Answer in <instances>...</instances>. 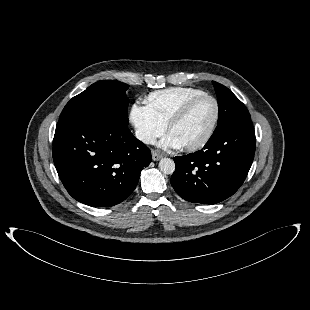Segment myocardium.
Returning a JSON list of instances; mask_svg holds the SVG:
<instances>
[{"label": "myocardium", "instance_id": "obj_1", "mask_svg": "<svg viewBox=\"0 0 310 310\" xmlns=\"http://www.w3.org/2000/svg\"><path fill=\"white\" fill-rule=\"evenodd\" d=\"M203 99H210L214 103L215 111H214L213 120H212L211 125L208 128L207 132L204 134V136L200 140H198L197 142L192 143V144L181 145V148L185 151H189V152L197 151V150L203 148L212 138V136H213V134L217 128L219 118H220V106H219L217 99L215 97H213L212 95H209L206 93L199 95V96H196V97H193V98L189 99L187 102H185L178 109V111L171 117V119L167 123V129H168V131H171V129L176 124L181 122L186 117V115L189 113V111L192 109V107L197 102H199Z\"/></svg>", "mask_w": 310, "mask_h": 310}]
</instances>
